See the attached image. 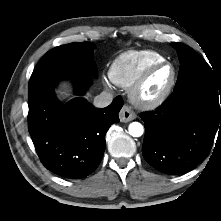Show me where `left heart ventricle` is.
Instances as JSON below:
<instances>
[{
  "instance_id": "left-heart-ventricle-1",
  "label": "left heart ventricle",
  "mask_w": 221,
  "mask_h": 221,
  "mask_svg": "<svg viewBox=\"0 0 221 221\" xmlns=\"http://www.w3.org/2000/svg\"><path fill=\"white\" fill-rule=\"evenodd\" d=\"M171 78V68L164 66L156 70L143 89L144 98H153L158 95L168 84Z\"/></svg>"
}]
</instances>
